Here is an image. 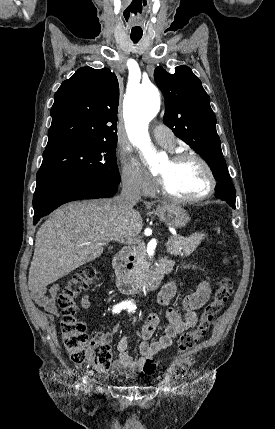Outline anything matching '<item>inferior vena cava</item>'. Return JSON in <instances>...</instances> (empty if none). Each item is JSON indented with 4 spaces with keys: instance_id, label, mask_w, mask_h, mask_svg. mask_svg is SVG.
Wrapping results in <instances>:
<instances>
[{
    "instance_id": "602c4592",
    "label": "inferior vena cava",
    "mask_w": 275,
    "mask_h": 429,
    "mask_svg": "<svg viewBox=\"0 0 275 429\" xmlns=\"http://www.w3.org/2000/svg\"><path fill=\"white\" fill-rule=\"evenodd\" d=\"M140 183L133 177L123 179L121 194L116 198L119 208L126 211L133 209L141 198Z\"/></svg>"
}]
</instances>
